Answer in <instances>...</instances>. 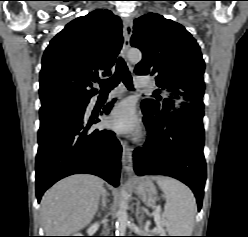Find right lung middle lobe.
Instances as JSON below:
<instances>
[{"mask_svg": "<svg viewBox=\"0 0 248 237\" xmlns=\"http://www.w3.org/2000/svg\"><path fill=\"white\" fill-rule=\"evenodd\" d=\"M88 102V100L85 101H72V100H64V101H58L55 103H52L50 105H76V106H83ZM48 105V106H50Z\"/></svg>", "mask_w": 248, "mask_h": 237, "instance_id": "right-lung-middle-lobe-1", "label": "right lung middle lobe"}]
</instances>
